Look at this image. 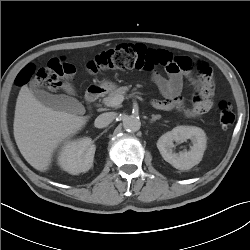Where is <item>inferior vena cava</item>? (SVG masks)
I'll list each match as a JSON object with an SVG mask.
<instances>
[{"instance_id": "inferior-vena-cava-1", "label": "inferior vena cava", "mask_w": 250, "mask_h": 250, "mask_svg": "<svg viewBox=\"0 0 250 250\" xmlns=\"http://www.w3.org/2000/svg\"><path fill=\"white\" fill-rule=\"evenodd\" d=\"M116 114L114 112H106L100 114L94 122L95 127L104 128L107 127L115 119Z\"/></svg>"}]
</instances>
